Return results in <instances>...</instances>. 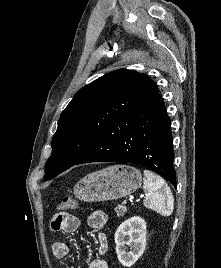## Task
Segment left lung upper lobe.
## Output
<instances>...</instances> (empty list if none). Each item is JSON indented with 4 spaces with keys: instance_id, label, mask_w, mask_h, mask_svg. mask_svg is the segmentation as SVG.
<instances>
[{
    "instance_id": "1",
    "label": "left lung upper lobe",
    "mask_w": 221,
    "mask_h": 268,
    "mask_svg": "<svg viewBox=\"0 0 221 268\" xmlns=\"http://www.w3.org/2000/svg\"><path fill=\"white\" fill-rule=\"evenodd\" d=\"M158 93L147 75L126 69L105 74L80 89L58 121L45 179L75 165L117 118Z\"/></svg>"
}]
</instances>
